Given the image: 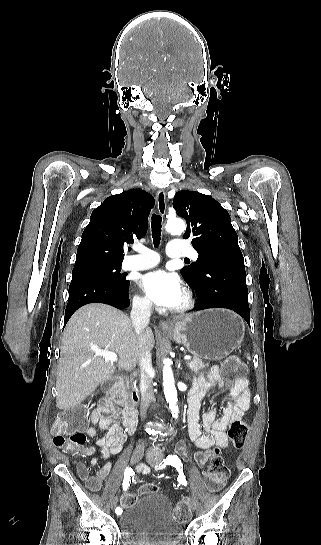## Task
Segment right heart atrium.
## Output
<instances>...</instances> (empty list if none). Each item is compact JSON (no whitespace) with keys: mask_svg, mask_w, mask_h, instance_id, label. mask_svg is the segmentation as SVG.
<instances>
[{"mask_svg":"<svg viewBox=\"0 0 321 545\" xmlns=\"http://www.w3.org/2000/svg\"><path fill=\"white\" fill-rule=\"evenodd\" d=\"M133 308L141 314H150L152 311L151 303L144 297L135 295L132 299Z\"/></svg>","mask_w":321,"mask_h":545,"instance_id":"1","label":"right heart atrium"}]
</instances>
